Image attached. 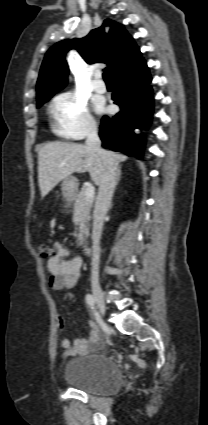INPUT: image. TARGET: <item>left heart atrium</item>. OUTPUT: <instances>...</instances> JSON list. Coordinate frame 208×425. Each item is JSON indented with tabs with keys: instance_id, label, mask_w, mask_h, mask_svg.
<instances>
[{
	"instance_id": "1",
	"label": "left heart atrium",
	"mask_w": 208,
	"mask_h": 425,
	"mask_svg": "<svg viewBox=\"0 0 208 425\" xmlns=\"http://www.w3.org/2000/svg\"><path fill=\"white\" fill-rule=\"evenodd\" d=\"M97 110L98 111H102L103 110V107L101 105H99V106H97Z\"/></svg>"
}]
</instances>
